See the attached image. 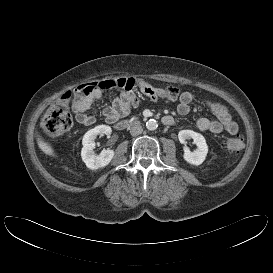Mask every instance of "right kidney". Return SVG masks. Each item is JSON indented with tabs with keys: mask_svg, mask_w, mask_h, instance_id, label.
Instances as JSON below:
<instances>
[{
	"mask_svg": "<svg viewBox=\"0 0 273 273\" xmlns=\"http://www.w3.org/2000/svg\"><path fill=\"white\" fill-rule=\"evenodd\" d=\"M111 134V128L107 125H99L85 133L82 144L81 157L85 165L92 170L107 166L114 157V151L103 150L99 155L94 152L95 139L98 135Z\"/></svg>",
	"mask_w": 273,
	"mask_h": 273,
	"instance_id": "obj_1",
	"label": "right kidney"
}]
</instances>
